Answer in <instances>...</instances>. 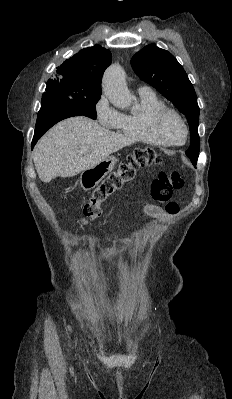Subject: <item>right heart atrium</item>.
<instances>
[{
  "mask_svg": "<svg viewBox=\"0 0 232 399\" xmlns=\"http://www.w3.org/2000/svg\"><path fill=\"white\" fill-rule=\"evenodd\" d=\"M95 112L99 125H104V128L108 129L115 128L121 117V114L106 102V96L96 105Z\"/></svg>",
  "mask_w": 232,
  "mask_h": 399,
  "instance_id": "1",
  "label": "right heart atrium"
}]
</instances>
